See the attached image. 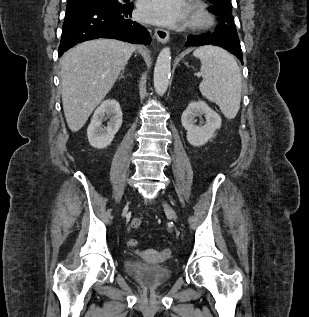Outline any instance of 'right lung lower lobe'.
<instances>
[{"label": "right lung lower lobe", "instance_id": "1", "mask_svg": "<svg viewBox=\"0 0 309 317\" xmlns=\"http://www.w3.org/2000/svg\"><path fill=\"white\" fill-rule=\"evenodd\" d=\"M132 10V4L114 7L68 0L58 56L77 43L97 38L149 45L147 29L130 19Z\"/></svg>", "mask_w": 309, "mask_h": 317}]
</instances>
